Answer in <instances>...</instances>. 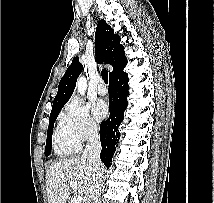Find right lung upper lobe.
<instances>
[{"label":"right lung upper lobe","mask_w":214,"mask_h":203,"mask_svg":"<svg viewBox=\"0 0 214 203\" xmlns=\"http://www.w3.org/2000/svg\"><path fill=\"white\" fill-rule=\"evenodd\" d=\"M95 41L97 62H106L113 66V72L109 74L110 77L121 72L127 64L124 47L120 45V37L114 34L113 29L104 20L98 22ZM82 69L83 66L79 62V58H74L59 82L58 92L53 101L50 115L60 112L62 107L68 102Z\"/></svg>","instance_id":"right-lung-upper-lobe-1"}]
</instances>
